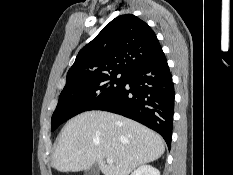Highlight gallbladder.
<instances>
[{"instance_id": "bac80fb5", "label": "gallbladder", "mask_w": 233, "mask_h": 175, "mask_svg": "<svg viewBox=\"0 0 233 175\" xmlns=\"http://www.w3.org/2000/svg\"><path fill=\"white\" fill-rule=\"evenodd\" d=\"M84 175H99V168L96 164H93L89 169L85 171Z\"/></svg>"}]
</instances>
